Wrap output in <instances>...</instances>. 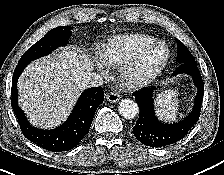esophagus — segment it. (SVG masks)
<instances>
[{
    "label": "esophagus",
    "instance_id": "34e87169",
    "mask_svg": "<svg viewBox=\"0 0 224 175\" xmlns=\"http://www.w3.org/2000/svg\"><path fill=\"white\" fill-rule=\"evenodd\" d=\"M119 99H120V95L118 93L111 92L107 95V100L111 103H116L119 101Z\"/></svg>",
    "mask_w": 224,
    "mask_h": 175
}]
</instances>
